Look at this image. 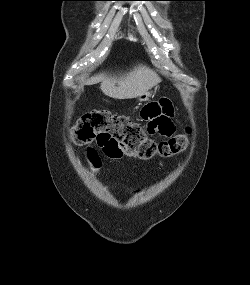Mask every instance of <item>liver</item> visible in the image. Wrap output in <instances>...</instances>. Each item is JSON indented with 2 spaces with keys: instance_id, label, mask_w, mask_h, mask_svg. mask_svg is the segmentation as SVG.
I'll return each instance as SVG.
<instances>
[{
  "instance_id": "liver-1",
  "label": "liver",
  "mask_w": 250,
  "mask_h": 285,
  "mask_svg": "<svg viewBox=\"0 0 250 285\" xmlns=\"http://www.w3.org/2000/svg\"><path fill=\"white\" fill-rule=\"evenodd\" d=\"M161 81L155 71L145 65H138L130 72L119 75L100 73L87 79L86 85L100 83L101 91L113 99H131L147 93Z\"/></svg>"
}]
</instances>
